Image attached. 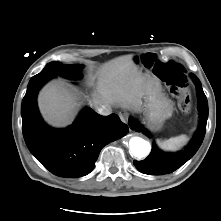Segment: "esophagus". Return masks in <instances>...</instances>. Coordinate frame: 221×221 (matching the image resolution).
<instances>
[{
	"label": "esophagus",
	"mask_w": 221,
	"mask_h": 221,
	"mask_svg": "<svg viewBox=\"0 0 221 221\" xmlns=\"http://www.w3.org/2000/svg\"><path fill=\"white\" fill-rule=\"evenodd\" d=\"M120 119L122 120V122L126 123L128 121V114L120 113Z\"/></svg>",
	"instance_id": "1"
}]
</instances>
